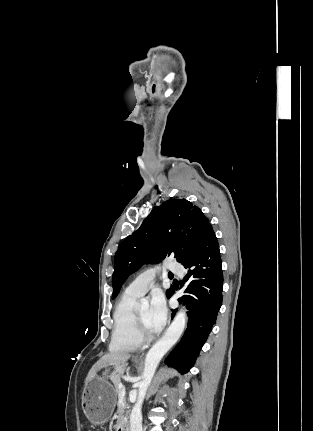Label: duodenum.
Returning <instances> with one entry per match:
<instances>
[{
  "label": "duodenum",
  "mask_w": 313,
  "mask_h": 431,
  "mask_svg": "<svg viewBox=\"0 0 313 431\" xmlns=\"http://www.w3.org/2000/svg\"><path fill=\"white\" fill-rule=\"evenodd\" d=\"M118 431H130L128 421H122L118 426Z\"/></svg>",
  "instance_id": "obj_1"
}]
</instances>
